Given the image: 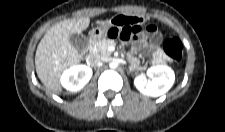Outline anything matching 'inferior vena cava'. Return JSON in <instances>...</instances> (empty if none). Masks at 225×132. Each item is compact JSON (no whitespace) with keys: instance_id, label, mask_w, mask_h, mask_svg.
<instances>
[{"instance_id":"obj_1","label":"inferior vena cava","mask_w":225,"mask_h":132,"mask_svg":"<svg viewBox=\"0 0 225 132\" xmlns=\"http://www.w3.org/2000/svg\"><path fill=\"white\" fill-rule=\"evenodd\" d=\"M105 61V58L100 55H92L88 59L89 65L98 66L101 65Z\"/></svg>"}]
</instances>
